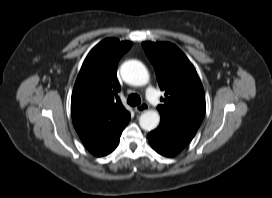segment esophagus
I'll return each mask as SVG.
<instances>
[{"label":"esophagus","instance_id":"1","mask_svg":"<svg viewBox=\"0 0 272 198\" xmlns=\"http://www.w3.org/2000/svg\"><path fill=\"white\" fill-rule=\"evenodd\" d=\"M149 109V105L147 103H142L139 106L135 107V111L138 113H142Z\"/></svg>","mask_w":272,"mask_h":198}]
</instances>
